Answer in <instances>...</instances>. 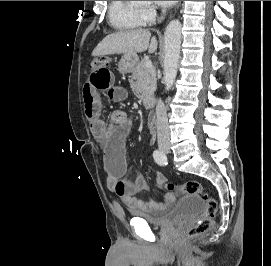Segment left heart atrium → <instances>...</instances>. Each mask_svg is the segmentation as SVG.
<instances>
[{
  "mask_svg": "<svg viewBox=\"0 0 271 266\" xmlns=\"http://www.w3.org/2000/svg\"><path fill=\"white\" fill-rule=\"evenodd\" d=\"M176 1H156L157 4L161 5V6H170L173 3H175Z\"/></svg>",
  "mask_w": 271,
  "mask_h": 266,
  "instance_id": "39dd6f15",
  "label": "left heart atrium"
}]
</instances>
